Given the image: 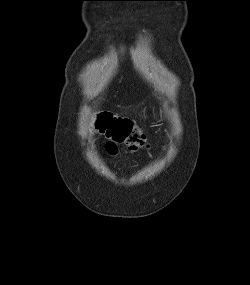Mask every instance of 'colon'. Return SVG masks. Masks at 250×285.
<instances>
[{
  "mask_svg": "<svg viewBox=\"0 0 250 285\" xmlns=\"http://www.w3.org/2000/svg\"><path fill=\"white\" fill-rule=\"evenodd\" d=\"M95 129L108 140L111 152L117 144L125 145L130 151H136L147 146V140L141 129L130 119L116 116L110 112H101L95 124Z\"/></svg>",
  "mask_w": 250,
  "mask_h": 285,
  "instance_id": "1",
  "label": "colon"
}]
</instances>
